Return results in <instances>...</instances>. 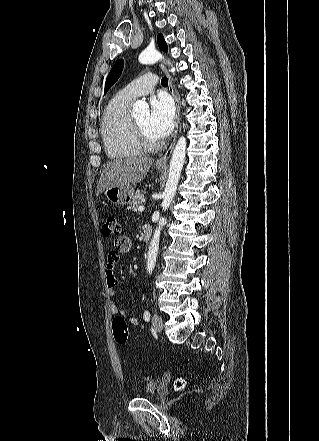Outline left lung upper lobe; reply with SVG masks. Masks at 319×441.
Segmentation results:
<instances>
[{
    "label": "left lung upper lobe",
    "instance_id": "1",
    "mask_svg": "<svg viewBox=\"0 0 319 441\" xmlns=\"http://www.w3.org/2000/svg\"><path fill=\"white\" fill-rule=\"evenodd\" d=\"M158 40V46L161 50L164 52L168 51L167 44L164 40V37L162 34H159L157 36ZM124 66V61L122 59L118 60L114 66L112 67L109 75L107 76L106 83H105V93L110 89V87L118 80L120 77L122 70Z\"/></svg>",
    "mask_w": 319,
    "mask_h": 441
}]
</instances>
